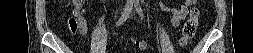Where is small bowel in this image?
Listing matches in <instances>:
<instances>
[{
    "mask_svg": "<svg viewBox=\"0 0 253 53\" xmlns=\"http://www.w3.org/2000/svg\"><path fill=\"white\" fill-rule=\"evenodd\" d=\"M194 3V0H185L183 1V4L180 8H169L163 6V9L170 13L172 25L177 26L186 16L188 7H190ZM75 4L82 7V4L79 2H76ZM78 32L80 35H85L87 32V20L84 16L80 18V26Z\"/></svg>",
    "mask_w": 253,
    "mask_h": 53,
    "instance_id": "1",
    "label": "small bowel"
}]
</instances>
